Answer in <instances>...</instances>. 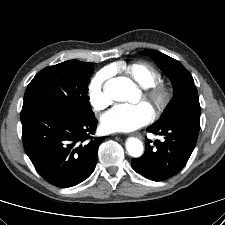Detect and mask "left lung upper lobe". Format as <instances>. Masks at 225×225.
Wrapping results in <instances>:
<instances>
[{
  "instance_id": "5c2ea615",
  "label": "left lung upper lobe",
  "mask_w": 225,
  "mask_h": 225,
  "mask_svg": "<svg viewBox=\"0 0 225 225\" xmlns=\"http://www.w3.org/2000/svg\"><path fill=\"white\" fill-rule=\"evenodd\" d=\"M140 54L150 56L174 86V97L161 119L153 126L188 124L200 126V104L192 75L177 60L152 49Z\"/></svg>"
}]
</instances>
